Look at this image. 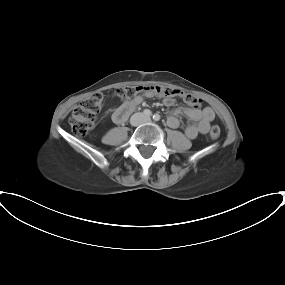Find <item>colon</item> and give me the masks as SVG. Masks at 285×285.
I'll return each mask as SVG.
<instances>
[{"label": "colon", "mask_w": 285, "mask_h": 285, "mask_svg": "<svg viewBox=\"0 0 285 285\" xmlns=\"http://www.w3.org/2000/svg\"><path fill=\"white\" fill-rule=\"evenodd\" d=\"M163 95L166 97H180L187 105L193 108H200L202 100L196 95L185 92L178 88L163 86H123L115 90V95L123 100H129L139 94ZM103 95L100 92L93 93L83 100L72 112L70 116V125L73 131L78 135H85L94 125L96 116L102 107ZM221 134L218 125L210 129L212 139H217Z\"/></svg>", "instance_id": "1"}]
</instances>
